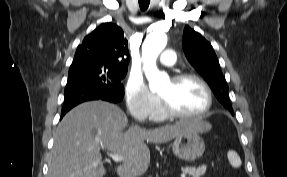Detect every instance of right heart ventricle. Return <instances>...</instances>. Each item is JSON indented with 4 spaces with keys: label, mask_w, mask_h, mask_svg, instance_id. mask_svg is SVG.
Listing matches in <instances>:
<instances>
[{
    "label": "right heart ventricle",
    "mask_w": 287,
    "mask_h": 177,
    "mask_svg": "<svg viewBox=\"0 0 287 177\" xmlns=\"http://www.w3.org/2000/svg\"><path fill=\"white\" fill-rule=\"evenodd\" d=\"M164 118H165V114L163 113L162 110H159L153 119L156 121H162L164 120Z\"/></svg>",
    "instance_id": "obj_1"
}]
</instances>
